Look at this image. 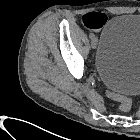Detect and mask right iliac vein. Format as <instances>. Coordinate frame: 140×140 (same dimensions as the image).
Listing matches in <instances>:
<instances>
[{
    "instance_id": "63e3f726",
    "label": "right iliac vein",
    "mask_w": 140,
    "mask_h": 140,
    "mask_svg": "<svg viewBox=\"0 0 140 140\" xmlns=\"http://www.w3.org/2000/svg\"><path fill=\"white\" fill-rule=\"evenodd\" d=\"M96 45H97V41L95 40V38H92V41H91L92 48L95 49Z\"/></svg>"
}]
</instances>
